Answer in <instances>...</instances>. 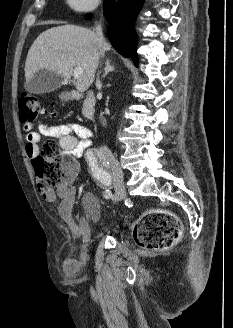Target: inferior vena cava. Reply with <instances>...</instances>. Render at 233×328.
<instances>
[{
  "mask_svg": "<svg viewBox=\"0 0 233 328\" xmlns=\"http://www.w3.org/2000/svg\"><path fill=\"white\" fill-rule=\"evenodd\" d=\"M96 34H97V37L99 39V41L103 42L104 41V37H103V33H102V27L100 24H98L96 26ZM96 86L97 87H102V84L99 80V77L96 79Z\"/></svg>",
  "mask_w": 233,
  "mask_h": 328,
  "instance_id": "602c4592",
  "label": "inferior vena cava"
}]
</instances>
